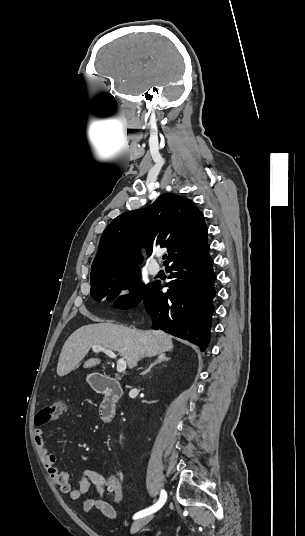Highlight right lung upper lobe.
<instances>
[{"mask_svg": "<svg viewBox=\"0 0 305 536\" xmlns=\"http://www.w3.org/2000/svg\"><path fill=\"white\" fill-rule=\"evenodd\" d=\"M202 212L187 198L166 193L145 209L116 217L105 229L92 263L91 281L139 270L137 248H168L166 266L207 246Z\"/></svg>", "mask_w": 305, "mask_h": 536, "instance_id": "right-lung-upper-lobe-1", "label": "right lung upper lobe"}]
</instances>
